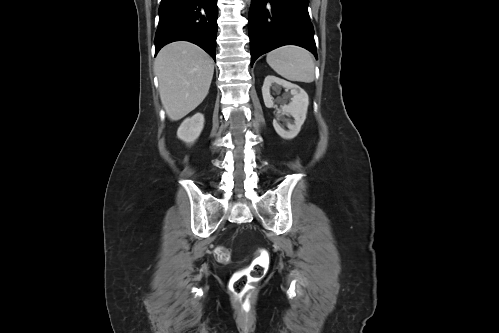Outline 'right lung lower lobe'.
Returning a JSON list of instances; mask_svg holds the SVG:
<instances>
[{
    "instance_id": "98d812e1",
    "label": "right lung lower lobe",
    "mask_w": 499,
    "mask_h": 333,
    "mask_svg": "<svg viewBox=\"0 0 499 333\" xmlns=\"http://www.w3.org/2000/svg\"><path fill=\"white\" fill-rule=\"evenodd\" d=\"M155 35V55L166 44L185 40L199 45L214 60L217 0H162Z\"/></svg>"
}]
</instances>
